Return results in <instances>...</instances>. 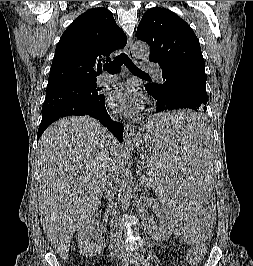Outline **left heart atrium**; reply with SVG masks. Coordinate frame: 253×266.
Wrapping results in <instances>:
<instances>
[{
  "label": "left heart atrium",
  "mask_w": 253,
  "mask_h": 266,
  "mask_svg": "<svg viewBox=\"0 0 253 266\" xmlns=\"http://www.w3.org/2000/svg\"><path fill=\"white\" fill-rule=\"evenodd\" d=\"M108 101L117 112L126 116L138 114L145 104L143 94L130 82L115 85L108 93Z\"/></svg>",
  "instance_id": "obj_1"
}]
</instances>
